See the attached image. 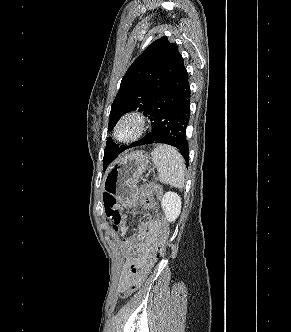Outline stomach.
<instances>
[{"mask_svg":"<svg viewBox=\"0 0 291 332\" xmlns=\"http://www.w3.org/2000/svg\"><path fill=\"white\" fill-rule=\"evenodd\" d=\"M149 156L142 151L132 152L116 161L105 174L104 188L119 202L131 205L136 200V184L147 170Z\"/></svg>","mask_w":291,"mask_h":332,"instance_id":"stomach-1","label":"stomach"}]
</instances>
